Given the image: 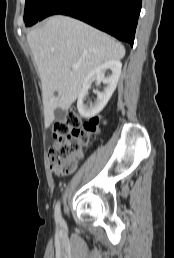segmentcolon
Wrapping results in <instances>:
<instances>
[{
	"instance_id": "5ec220e1",
	"label": "colon",
	"mask_w": 174,
	"mask_h": 258,
	"mask_svg": "<svg viewBox=\"0 0 174 258\" xmlns=\"http://www.w3.org/2000/svg\"><path fill=\"white\" fill-rule=\"evenodd\" d=\"M100 122L99 118H92L82 125L81 115L76 110H70L52 125L53 143L48 156L55 173L65 176L74 171L90 135L97 131Z\"/></svg>"
}]
</instances>
